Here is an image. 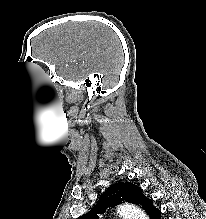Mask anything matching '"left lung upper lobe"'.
<instances>
[{"instance_id":"5c2ea615","label":"left lung upper lobe","mask_w":206,"mask_h":219,"mask_svg":"<svg viewBox=\"0 0 206 219\" xmlns=\"http://www.w3.org/2000/svg\"><path fill=\"white\" fill-rule=\"evenodd\" d=\"M123 202L139 205L146 213L152 204V200L144 196L142 189L137 185L131 182L117 183L111 185L101 195L90 212L83 214L78 219H99L98 214H103L107 207H114Z\"/></svg>"}]
</instances>
